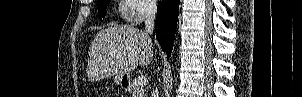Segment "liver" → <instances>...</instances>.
<instances>
[{
    "label": "liver",
    "mask_w": 302,
    "mask_h": 97,
    "mask_svg": "<svg viewBox=\"0 0 302 97\" xmlns=\"http://www.w3.org/2000/svg\"><path fill=\"white\" fill-rule=\"evenodd\" d=\"M153 58L150 34L131 26L103 29L95 36L89 52V76L123 75Z\"/></svg>",
    "instance_id": "1"
}]
</instances>
